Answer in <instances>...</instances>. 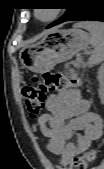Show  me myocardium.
Masks as SVG:
<instances>
[{
    "instance_id": "obj_1",
    "label": "myocardium",
    "mask_w": 104,
    "mask_h": 169,
    "mask_svg": "<svg viewBox=\"0 0 104 169\" xmlns=\"http://www.w3.org/2000/svg\"><path fill=\"white\" fill-rule=\"evenodd\" d=\"M34 14H35V17L38 18L39 20H41V21H43V22H50V21L55 20V19L58 17L59 10H54L52 13H50L49 17L44 18V19H41V18L39 17V9H36V10L34 11Z\"/></svg>"
}]
</instances>
